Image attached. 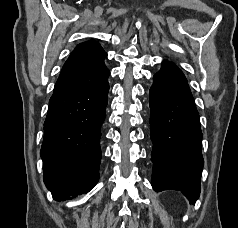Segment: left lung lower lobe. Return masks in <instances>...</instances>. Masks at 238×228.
I'll return each mask as SVG.
<instances>
[{
	"label": "left lung lower lobe",
	"instance_id": "left-lung-lower-lobe-1",
	"mask_svg": "<svg viewBox=\"0 0 238 228\" xmlns=\"http://www.w3.org/2000/svg\"><path fill=\"white\" fill-rule=\"evenodd\" d=\"M150 88L151 185L156 192L178 190L195 204L203 168L199 114L182 71L163 61Z\"/></svg>",
	"mask_w": 238,
	"mask_h": 228
}]
</instances>
